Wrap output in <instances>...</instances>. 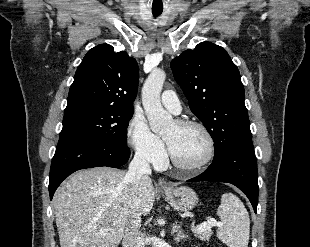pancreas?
<instances>
[{"label":"pancreas","mask_w":310,"mask_h":247,"mask_svg":"<svg viewBox=\"0 0 310 247\" xmlns=\"http://www.w3.org/2000/svg\"><path fill=\"white\" fill-rule=\"evenodd\" d=\"M212 234V231L210 229H207L197 232V237L202 241H209Z\"/></svg>","instance_id":"cf45deb5"}]
</instances>
